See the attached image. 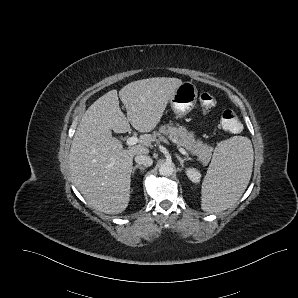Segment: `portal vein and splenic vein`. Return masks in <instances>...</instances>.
<instances>
[{
  "label": "portal vein and splenic vein",
  "instance_id": "18ae733b",
  "mask_svg": "<svg viewBox=\"0 0 298 298\" xmlns=\"http://www.w3.org/2000/svg\"><path fill=\"white\" fill-rule=\"evenodd\" d=\"M138 138L136 136H132V137H129L126 141L127 145L129 146H133V145H136L138 143ZM177 149L178 151L182 154V155H185L187 156L188 155V152L185 148L181 147V146H177Z\"/></svg>",
  "mask_w": 298,
  "mask_h": 298
}]
</instances>
